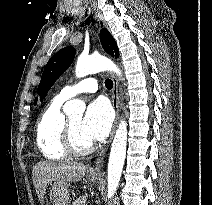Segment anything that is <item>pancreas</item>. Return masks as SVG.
Listing matches in <instances>:
<instances>
[{
    "label": "pancreas",
    "mask_w": 212,
    "mask_h": 205,
    "mask_svg": "<svg viewBox=\"0 0 212 205\" xmlns=\"http://www.w3.org/2000/svg\"><path fill=\"white\" fill-rule=\"evenodd\" d=\"M72 205H86V198L80 197L77 200H75Z\"/></svg>",
    "instance_id": "pancreas-1"
}]
</instances>
